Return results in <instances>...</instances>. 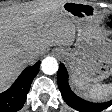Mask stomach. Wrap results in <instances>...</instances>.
<instances>
[{"mask_svg": "<svg viewBox=\"0 0 112 112\" xmlns=\"http://www.w3.org/2000/svg\"><path fill=\"white\" fill-rule=\"evenodd\" d=\"M63 9L79 22L91 20L95 14L91 5L79 0H67ZM98 38L92 29H83L78 33L75 49H55L70 61L73 74L87 84L100 82L112 74V49L105 41L95 43Z\"/></svg>", "mask_w": 112, "mask_h": 112, "instance_id": "stomach-1", "label": "stomach"}]
</instances>
